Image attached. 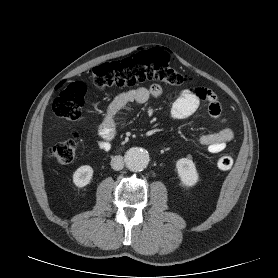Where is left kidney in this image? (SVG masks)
Wrapping results in <instances>:
<instances>
[{
    "mask_svg": "<svg viewBox=\"0 0 278 278\" xmlns=\"http://www.w3.org/2000/svg\"><path fill=\"white\" fill-rule=\"evenodd\" d=\"M178 175L182 183L188 187L194 186L198 182L196 166L191 159L181 158L176 163Z\"/></svg>",
    "mask_w": 278,
    "mask_h": 278,
    "instance_id": "left-kidney-1",
    "label": "left kidney"
}]
</instances>
